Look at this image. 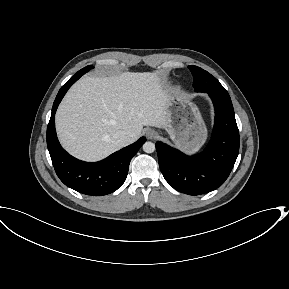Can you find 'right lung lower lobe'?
<instances>
[{
	"mask_svg": "<svg viewBox=\"0 0 289 289\" xmlns=\"http://www.w3.org/2000/svg\"><path fill=\"white\" fill-rule=\"evenodd\" d=\"M82 75L78 71L61 87L56 96L47 127V146L56 174L66 186L82 194L102 196L114 192L124 183L129 163L146 138L141 137L135 143L95 163L83 162L69 155L56 136L55 112L67 90Z\"/></svg>",
	"mask_w": 289,
	"mask_h": 289,
	"instance_id": "1",
	"label": "right lung lower lobe"
}]
</instances>
